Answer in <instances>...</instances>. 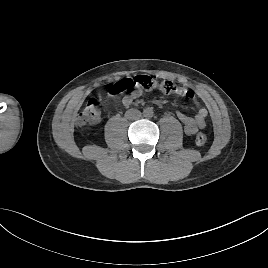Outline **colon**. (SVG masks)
<instances>
[{"mask_svg": "<svg viewBox=\"0 0 268 268\" xmlns=\"http://www.w3.org/2000/svg\"><path fill=\"white\" fill-rule=\"evenodd\" d=\"M139 88L142 90L159 89L166 94H176L185 98H192L193 94L187 89L179 86L174 81L162 80L159 81L150 75H137L134 77L123 78L114 83L110 88V94L116 96L125 91ZM101 100L98 97H91L85 108L81 111L78 117V122L81 125H95L101 119ZM198 145H203L207 142L208 137L204 133H199L196 138Z\"/></svg>", "mask_w": 268, "mask_h": 268, "instance_id": "1", "label": "colon"}]
</instances>
